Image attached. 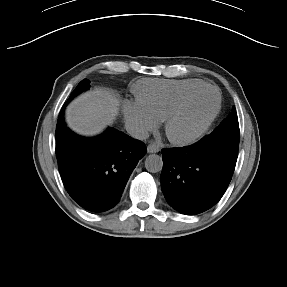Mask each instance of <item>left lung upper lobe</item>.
Returning <instances> with one entry per match:
<instances>
[{"mask_svg": "<svg viewBox=\"0 0 287 287\" xmlns=\"http://www.w3.org/2000/svg\"><path fill=\"white\" fill-rule=\"evenodd\" d=\"M209 136L215 141L238 148L240 131L235 108L232 109V113Z\"/></svg>", "mask_w": 287, "mask_h": 287, "instance_id": "left-lung-upper-lobe-1", "label": "left lung upper lobe"}]
</instances>
